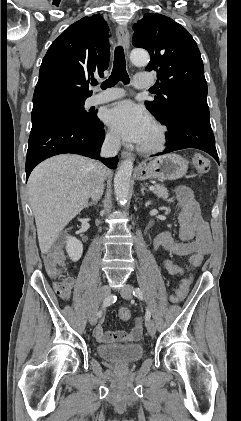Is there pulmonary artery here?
Wrapping results in <instances>:
<instances>
[{"label": "pulmonary artery", "mask_w": 241, "mask_h": 421, "mask_svg": "<svg viewBox=\"0 0 241 421\" xmlns=\"http://www.w3.org/2000/svg\"><path fill=\"white\" fill-rule=\"evenodd\" d=\"M154 83V80L151 77L143 76V75H137L135 77L134 86L136 88H146L151 86ZM125 95L124 90L119 88H112L109 90H106L103 93L94 94L88 99L89 105H97L106 103L112 100L119 99Z\"/></svg>", "instance_id": "1"}]
</instances>
